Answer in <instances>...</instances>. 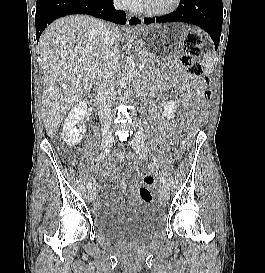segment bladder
I'll list each match as a JSON object with an SVG mask.
<instances>
[{"label": "bladder", "mask_w": 265, "mask_h": 273, "mask_svg": "<svg viewBox=\"0 0 265 273\" xmlns=\"http://www.w3.org/2000/svg\"><path fill=\"white\" fill-rule=\"evenodd\" d=\"M98 231L113 239L142 241L163 229V215L154 205H131L95 218Z\"/></svg>", "instance_id": "31cf9c89"}]
</instances>
